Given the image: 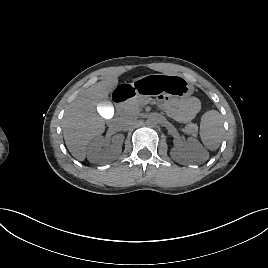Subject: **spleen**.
<instances>
[{"label": "spleen", "mask_w": 268, "mask_h": 268, "mask_svg": "<svg viewBox=\"0 0 268 268\" xmlns=\"http://www.w3.org/2000/svg\"><path fill=\"white\" fill-rule=\"evenodd\" d=\"M223 120L217 110H210L203 114L200 123V137L204 146L215 151L220 146L223 135Z\"/></svg>", "instance_id": "obj_1"}]
</instances>
